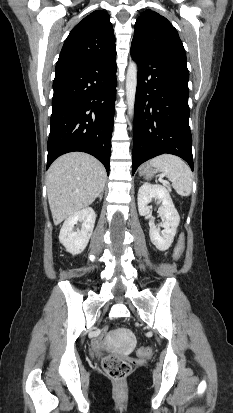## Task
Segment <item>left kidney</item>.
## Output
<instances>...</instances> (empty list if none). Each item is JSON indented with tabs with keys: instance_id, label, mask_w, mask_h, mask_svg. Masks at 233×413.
Segmentation results:
<instances>
[{
	"instance_id": "5707ae66",
	"label": "left kidney",
	"mask_w": 233,
	"mask_h": 413,
	"mask_svg": "<svg viewBox=\"0 0 233 413\" xmlns=\"http://www.w3.org/2000/svg\"><path fill=\"white\" fill-rule=\"evenodd\" d=\"M152 199L161 202L158 214L163 220L161 225L163 230L160 231V228H157L155 223L150 220V239L158 250L166 251L174 240L176 229L180 222V216L173 204L168 190L164 186L149 183L143 184L138 191V211L141 216H148L151 218L152 208L148 206V204Z\"/></svg>"
}]
</instances>
